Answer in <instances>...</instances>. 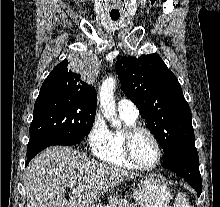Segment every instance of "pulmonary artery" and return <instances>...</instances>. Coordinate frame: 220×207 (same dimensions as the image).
Masks as SVG:
<instances>
[{"instance_id":"obj_1","label":"pulmonary artery","mask_w":220,"mask_h":207,"mask_svg":"<svg viewBox=\"0 0 220 207\" xmlns=\"http://www.w3.org/2000/svg\"><path fill=\"white\" fill-rule=\"evenodd\" d=\"M117 108L120 114H125L132 118H137L139 115L136 105L129 99H120L117 103Z\"/></svg>"}]
</instances>
